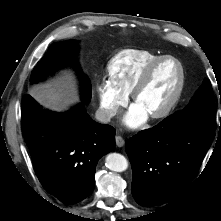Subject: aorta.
Masks as SVG:
<instances>
[{
    "instance_id": "1",
    "label": "aorta",
    "mask_w": 221,
    "mask_h": 221,
    "mask_svg": "<svg viewBox=\"0 0 221 221\" xmlns=\"http://www.w3.org/2000/svg\"><path fill=\"white\" fill-rule=\"evenodd\" d=\"M106 166L111 171L123 172L128 167L127 159L119 153H110L106 157Z\"/></svg>"
}]
</instances>
